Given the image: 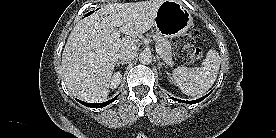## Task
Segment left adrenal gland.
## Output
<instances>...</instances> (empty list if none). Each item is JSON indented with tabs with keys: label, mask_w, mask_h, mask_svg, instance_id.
<instances>
[{
	"label": "left adrenal gland",
	"mask_w": 276,
	"mask_h": 138,
	"mask_svg": "<svg viewBox=\"0 0 276 138\" xmlns=\"http://www.w3.org/2000/svg\"><path fill=\"white\" fill-rule=\"evenodd\" d=\"M157 61H158V68L159 69L161 68V66H164L165 68H167V66L163 62L160 61V58L158 56H157Z\"/></svg>",
	"instance_id": "left-adrenal-gland-1"
}]
</instances>
